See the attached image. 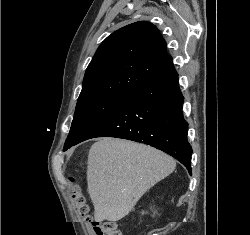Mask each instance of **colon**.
Here are the masks:
<instances>
[{"instance_id":"1","label":"colon","mask_w":250,"mask_h":235,"mask_svg":"<svg viewBox=\"0 0 250 235\" xmlns=\"http://www.w3.org/2000/svg\"><path fill=\"white\" fill-rule=\"evenodd\" d=\"M72 197L79 214L84 219L90 220L89 208L77 186H75L72 190ZM92 223L96 235H122L119 225L115 221H94Z\"/></svg>"}]
</instances>
